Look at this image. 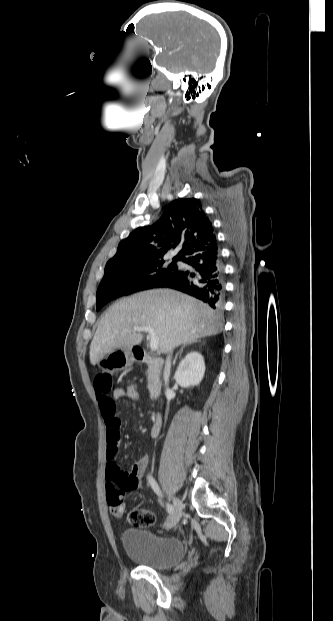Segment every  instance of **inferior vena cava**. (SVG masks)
Masks as SVG:
<instances>
[{
	"label": "inferior vena cava",
	"mask_w": 333,
	"mask_h": 621,
	"mask_svg": "<svg viewBox=\"0 0 333 621\" xmlns=\"http://www.w3.org/2000/svg\"><path fill=\"white\" fill-rule=\"evenodd\" d=\"M170 373H171V355H168L166 358V364H165V369H164V381L167 387L169 383Z\"/></svg>",
	"instance_id": "1"
}]
</instances>
